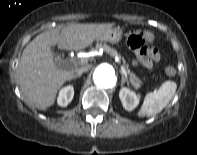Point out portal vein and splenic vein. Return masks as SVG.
Wrapping results in <instances>:
<instances>
[{"label":"portal vein and splenic vein","instance_id":"obj_1","mask_svg":"<svg viewBox=\"0 0 197 155\" xmlns=\"http://www.w3.org/2000/svg\"><path fill=\"white\" fill-rule=\"evenodd\" d=\"M121 71H122V73L125 75V77L127 76L126 75V71H125V68L123 67V66H121Z\"/></svg>","mask_w":197,"mask_h":155}]
</instances>
